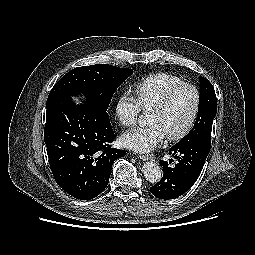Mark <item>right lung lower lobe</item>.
I'll return each mask as SVG.
<instances>
[{
  "instance_id": "right-lung-lower-lobe-1",
  "label": "right lung lower lobe",
  "mask_w": 255,
  "mask_h": 255,
  "mask_svg": "<svg viewBox=\"0 0 255 255\" xmlns=\"http://www.w3.org/2000/svg\"><path fill=\"white\" fill-rule=\"evenodd\" d=\"M44 140L58 185L77 199L89 200L107 186L114 161L126 152L111 148L114 132L84 105L58 97L46 106Z\"/></svg>"
}]
</instances>
